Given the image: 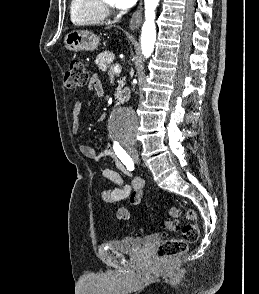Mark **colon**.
I'll return each instance as SVG.
<instances>
[{"label": "colon", "instance_id": "obj_1", "mask_svg": "<svg viewBox=\"0 0 259 294\" xmlns=\"http://www.w3.org/2000/svg\"><path fill=\"white\" fill-rule=\"evenodd\" d=\"M88 82V73L84 63L79 59H73L65 73L64 83L67 88L75 89L83 87ZM182 211L178 207H171L169 215L172 218H179ZM185 218L187 223L182 228V235L178 238L168 239L162 242L156 249V255L160 259L178 256L187 251L189 244L195 242L199 237V227L197 224V215L194 210H186ZM165 231H175L179 228L176 221L167 220L162 223Z\"/></svg>", "mask_w": 259, "mask_h": 294}]
</instances>
